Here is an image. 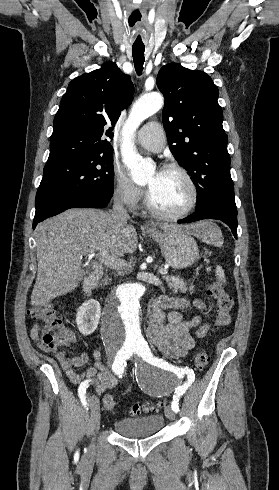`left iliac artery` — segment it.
I'll list each match as a JSON object with an SVG mask.
<instances>
[{
  "mask_svg": "<svg viewBox=\"0 0 279 490\" xmlns=\"http://www.w3.org/2000/svg\"><path fill=\"white\" fill-rule=\"evenodd\" d=\"M140 348L143 352V354L146 356L147 360L155 365H158L159 367H162L166 370L173 371L177 375H187V382H185L181 387H179L173 396V401L171 404L172 410L177 413L179 411V397L188 389V387L194 382L195 380V374L192 369H189L188 367L183 368H178L176 366H173L171 364H168V362L163 361L162 359L155 358L151 351L150 348L147 344V342H141Z\"/></svg>",
  "mask_w": 279,
  "mask_h": 490,
  "instance_id": "left-iliac-artery-1",
  "label": "left iliac artery"
}]
</instances>
